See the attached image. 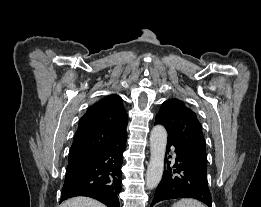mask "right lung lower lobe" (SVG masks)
<instances>
[{"label": "right lung lower lobe", "mask_w": 261, "mask_h": 207, "mask_svg": "<svg viewBox=\"0 0 261 207\" xmlns=\"http://www.w3.org/2000/svg\"><path fill=\"white\" fill-rule=\"evenodd\" d=\"M126 141L114 147L69 159L60 203L70 197L88 196L108 207H119L122 154Z\"/></svg>", "instance_id": "right-lung-lower-lobe-1"}]
</instances>
